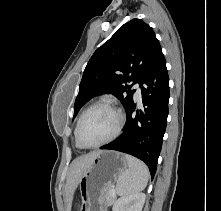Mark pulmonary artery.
I'll return each instance as SVG.
<instances>
[{
    "instance_id": "1",
    "label": "pulmonary artery",
    "mask_w": 221,
    "mask_h": 211,
    "mask_svg": "<svg viewBox=\"0 0 221 211\" xmlns=\"http://www.w3.org/2000/svg\"><path fill=\"white\" fill-rule=\"evenodd\" d=\"M134 88L136 89V91H135V96H136V98L140 99V98H141V89H140L139 84H136V85L134 86Z\"/></svg>"
}]
</instances>
